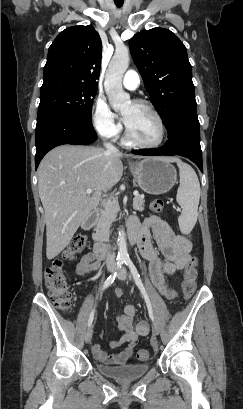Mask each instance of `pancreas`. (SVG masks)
<instances>
[{
    "label": "pancreas",
    "instance_id": "cf45deb5",
    "mask_svg": "<svg viewBox=\"0 0 243 409\" xmlns=\"http://www.w3.org/2000/svg\"><path fill=\"white\" fill-rule=\"evenodd\" d=\"M145 199L142 195H137L133 199V208L136 211L142 212L144 210ZM118 207L112 204H106L100 211V217L94 234V240L105 242L109 240L110 228L112 223L116 220Z\"/></svg>",
    "mask_w": 243,
    "mask_h": 409
}]
</instances>
